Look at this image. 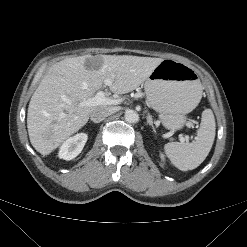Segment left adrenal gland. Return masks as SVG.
<instances>
[{
	"label": "left adrenal gland",
	"mask_w": 247,
	"mask_h": 247,
	"mask_svg": "<svg viewBox=\"0 0 247 247\" xmlns=\"http://www.w3.org/2000/svg\"><path fill=\"white\" fill-rule=\"evenodd\" d=\"M147 124H149L151 126V128L153 129V132L156 133V130H155L154 125H153L152 116L149 113L147 115Z\"/></svg>",
	"instance_id": "1"
}]
</instances>
